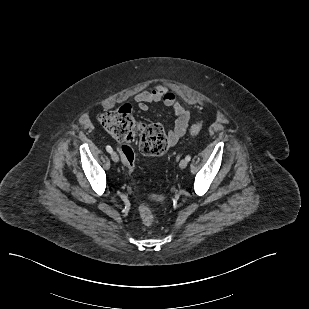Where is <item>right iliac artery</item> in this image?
<instances>
[{"label":"right iliac artery","mask_w":309,"mask_h":309,"mask_svg":"<svg viewBox=\"0 0 309 309\" xmlns=\"http://www.w3.org/2000/svg\"><path fill=\"white\" fill-rule=\"evenodd\" d=\"M106 150H107V152H109V153H112V152H113V149L111 148V146H106Z\"/></svg>","instance_id":"obj_1"}]
</instances>
